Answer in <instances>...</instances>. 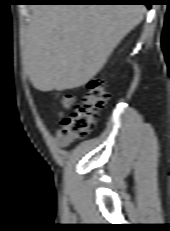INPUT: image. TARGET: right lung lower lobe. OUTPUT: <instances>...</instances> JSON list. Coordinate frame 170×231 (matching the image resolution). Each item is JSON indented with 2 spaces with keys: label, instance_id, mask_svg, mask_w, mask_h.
<instances>
[{
  "label": "right lung lower lobe",
  "instance_id": "98d812e1",
  "mask_svg": "<svg viewBox=\"0 0 170 231\" xmlns=\"http://www.w3.org/2000/svg\"><path fill=\"white\" fill-rule=\"evenodd\" d=\"M44 3H142L150 7L149 0H31Z\"/></svg>",
  "mask_w": 170,
  "mask_h": 231
}]
</instances>
